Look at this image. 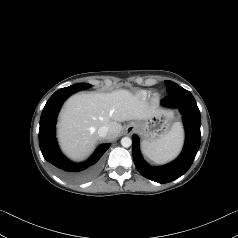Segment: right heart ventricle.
Wrapping results in <instances>:
<instances>
[{"label": "right heart ventricle", "mask_w": 238, "mask_h": 238, "mask_svg": "<svg viewBox=\"0 0 238 238\" xmlns=\"http://www.w3.org/2000/svg\"><path fill=\"white\" fill-rule=\"evenodd\" d=\"M148 95H149L148 92H142V96H143V97H147Z\"/></svg>", "instance_id": "1"}]
</instances>
